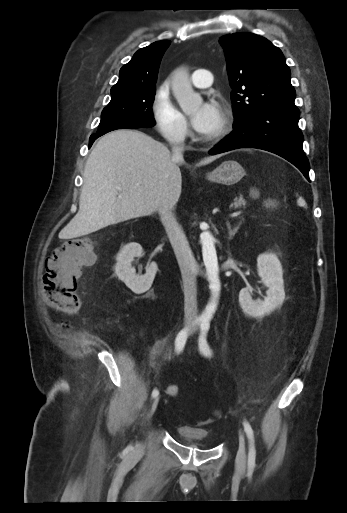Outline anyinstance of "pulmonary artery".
<instances>
[{
	"mask_svg": "<svg viewBox=\"0 0 347 513\" xmlns=\"http://www.w3.org/2000/svg\"><path fill=\"white\" fill-rule=\"evenodd\" d=\"M192 83L198 88L209 87L213 81V75L209 70L197 69L192 73Z\"/></svg>",
	"mask_w": 347,
	"mask_h": 513,
	"instance_id": "obj_1",
	"label": "pulmonary artery"
}]
</instances>
